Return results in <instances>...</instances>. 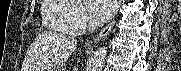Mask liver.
<instances>
[{
	"label": "liver",
	"instance_id": "liver-1",
	"mask_svg": "<svg viewBox=\"0 0 181 71\" xmlns=\"http://www.w3.org/2000/svg\"><path fill=\"white\" fill-rule=\"evenodd\" d=\"M76 47L77 40L73 37L56 32L41 33L25 59L26 71H44L63 65Z\"/></svg>",
	"mask_w": 181,
	"mask_h": 71
}]
</instances>
